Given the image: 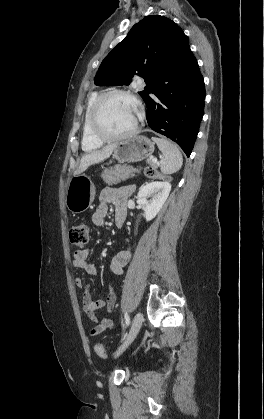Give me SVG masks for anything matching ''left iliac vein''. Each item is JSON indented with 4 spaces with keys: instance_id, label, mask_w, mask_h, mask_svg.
<instances>
[{
    "instance_id": "1",
    "label": "left iliac vein",
    "mask_w": 264,
    "mask_h": 419,
    "mask_svg": "<svg viewBox=\"0 0 264 419\" xmlns=\"http://www.w3.org/2000/svg\"><path fill=\"white\" fill-rule=\"evenodd\" d=\"M142 323H143V315L142 313L138 312L132 320L131 329L127 338L125 339L123 344L119 347L118 351L115 353V356H118L130 345V343L134 340L137 333L139 332L142 326Z\"/></svg>"
}]
</instances>
